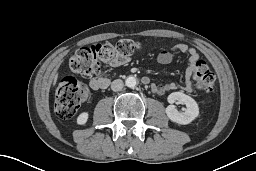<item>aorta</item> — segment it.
<instances>
[{
    "label": "aorta",
    "instance_id": "aorta-1",
    "mask_svg": "<svg viewBox=\"0 0 256 171\" xmlns=\"http://www.w3.org/2000/svg\"><path fill=\"white\" fill-rule=\"evenodd\" d=\"M125 84H126V86L129 87V88H135L136 85H137V80H136L135 77L129 76V77L126 78Z\"/></svg>",
    "mask_w": 256,
    "mask_h": 171
}]
</instances>
